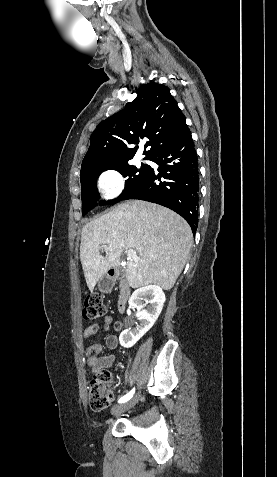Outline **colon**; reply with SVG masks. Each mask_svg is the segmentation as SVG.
Wrapping results in <instances>:
<instances>
[{"instance_id": "colon-1", "label": "colon", "mask_w": 277, "mask_h": 477, "mask_svg": "<svg viewBox=\"0 0 277 477\" xmlns=\"http://www.w3.org/2000/svg\"><path fill=\"white\" fill-rule=\"evenodd\" d=\"M105 314V306L98 295L86 298L83 308V319L92 323ZM89 405L92 410L101 411L109 407L113 401L111 375L107 371H101L94 375L89 384Z\"/></svg>"}]
</instances>
